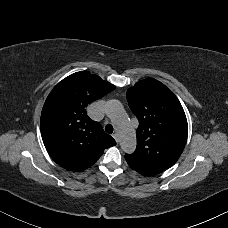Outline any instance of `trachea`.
<instances>
[{"label":"trachea","instance_id":"1","mask_svg":"<svg viewBox=\"0 0 228 228\" xmlns=\"http://www.w3.org/2000/svg\"><path fill=\"white\" fill-rule=\"evenodd\" d=\"M105 131L108 134H112L113 133V126L111 124H107L106 127H105Z\"/></svg>","mask_w":228,"mask_h":228}]
</instances>
